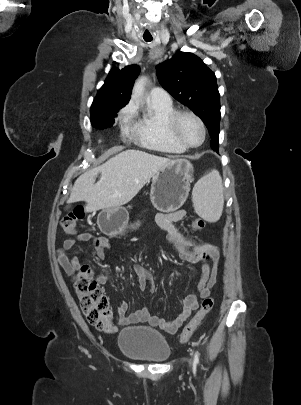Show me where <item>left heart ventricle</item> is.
<instances>
[{
    "label": "left heart ventricle",
    "instance_id": "obj_1",
    "mask_svg": "<svg viewBox=\"0 0 301 405\" xmlns=\"http://www.w3.org/2000/svg\"><path fill=\"white\" fill-rule=\"evenodd\" d=\"M179 133L188 144L197 145L201 142V128L192 117L185 116L180 120Z\"/></svg>",
    "mask_w": 301,
    "mask_h": 405
}]
</instances>
